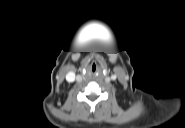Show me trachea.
I'll return each instance as SVG.
<instances>
[{"instance_id": "3493384b", "label": "trachea", "mask_w": 185, "mask_h": 128, "mask_svg": "<svg viewBox=\"0 0 185 128\" xmlns=\"http://www.w3.org/2000/svg\"><path fill=\"white\" fill-rule=\"evenodd\" d=\"M95 70H96V66L93 65L92 66V71L95 72Z\"/></svg>"}]
</instances>
